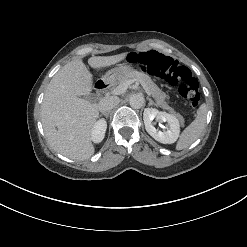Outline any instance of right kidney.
Wrapping results in <instances>:
<instances>
[{
	"label": "right kidney",
	"instance_id": "1",
	"mask_svg": "<svg viewBox=\"0 0 247 247\" xmlns=\"http://www.w3.org/2000/svg\"><path fill=\"white\" fill-rule=\"evenodd\" d=\"M107 124L105 120H98L91 131V138L94 143H100L105 136Z\"/></svg>",
	"mask_w": 247,
	"mask_h": 247
}]
</instances>
